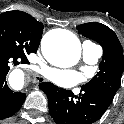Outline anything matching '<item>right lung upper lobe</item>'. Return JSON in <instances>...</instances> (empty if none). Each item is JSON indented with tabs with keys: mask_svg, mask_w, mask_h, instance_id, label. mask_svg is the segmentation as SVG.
I'll return each instance as SVG.
<instances>
[{
	"mask_svg": "<svg viewBox=\"0 0 124 124\" xmlns=\"http://www.w3.org/2000/svg\"><path fill=\"white\" fill-rule=\"evenodd\" d=\"M11 14H15L16 16L20 17L21 19L25 20V21H30V23L32 24L33 28L36 29V33H40V39L42 37V33H43V24L38 22L36 19H34L32 16H30L29 14L22 12V11H8ZM38 26L43 27L42 29H37Z\"/></svg>",
	"mask_w": 124,
	"mask_h": 124,
	"instance_id": "cb5924a9",
	"label": "right lung upper lobe"
}]
</instances>
